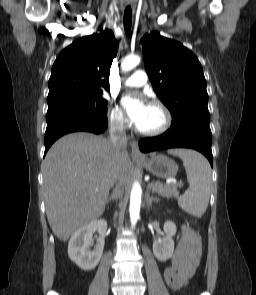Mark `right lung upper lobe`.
Returning <instances> with one entry per match:
<instances>
[{
	"instance_id": "right-lung-upper-lobe-1",
	"label": "right lung upper lobe",
	"mask_w": 256,
	"mask_h": 295,
	"mask_svg": "<svg viewBox=\"0 0 256 295\" xmlns=\"http://www.w3.org/2000/svg\"><path fill=\"white\" fill-rule=\"evenodd\" d=\"M82 37L56 58L49 79L48 101L68 94L97 95L109 90V74L117 41L109 29Z\"/></svg>"
}]
</instances>
